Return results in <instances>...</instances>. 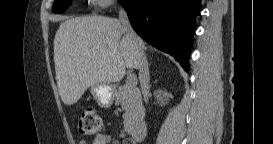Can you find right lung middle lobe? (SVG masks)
Wrapping results in <instances>:
<instances>
[{
    "mask_svg": "<svg viewBox=\"0 0 273 144\" xmlns=\"http://www.w3.org/2000/svg\"><path fill=\"white\" fill-rule=\"evenodd\" d=\"M71 0H56L53 6V12L59 13L64 11L70 4Z\"/></svg>",
    "mask_w": 273,
    "mask_h": 144,
    "instance_id": "obj_1",
    "label": "right lung middle lobe"
}]
</instances>
